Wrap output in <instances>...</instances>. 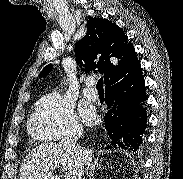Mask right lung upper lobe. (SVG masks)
I'll use <instances>...</instances> for the list:
<instances>
[{
  "label": "right lung upper lobe",
  "mask_w": 183,
  "mask_h": 179,
  "mask_svg": "<svg viewBox=\"0 0 183 179\" xmlns=\"http://www.w3.org/2000/svg\"><path fill=\"white\" fill-rule=\"evenodd\" d=\"M75 56L83 71L103 73L106 86L139 65L134 47L128 43L123 30L103 18L88 20L86 35L75 44ZM51 70L49 64L40 76L48 75Z\"/></svg>",
  "instance_id": "right-lung-upper-lobe-1"
}]
</instances>
